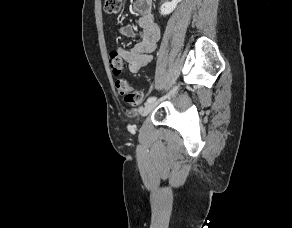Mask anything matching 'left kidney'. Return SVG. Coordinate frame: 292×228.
<instances>
[{
	"label": "left kidney",
	"mask_w": 292,
	"mask_h": 228,
	"mask_svg": "<svg viewBox=\"0 0 292 228\" xmlns=\"http://www.w3.org/2000/svg\"><path fill=\"white\" fill-rule=\"evenodd\" d=\"M182 0H172L171 2H165L160 7V13L162 15H168L170 14L177 6L179 2Z\"/></svg>",
	"instance_id": "5707ae66"
}]
</instances>
